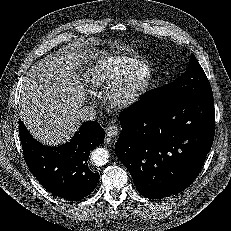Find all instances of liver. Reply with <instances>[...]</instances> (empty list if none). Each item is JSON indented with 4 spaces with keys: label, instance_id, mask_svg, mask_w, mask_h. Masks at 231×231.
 Listing matches in <instances>:
<instances>
[{
    "label": "liver",
    "instance_id": "6515ba94",
    "mask_svg": "<svg viewBox=\"0 0 231 231\" xmlns=\"http://www.w3.org/2000/svg\"><path fill=\"white\" fill-rule=\"evenodd\" d=\"M86 57L76 43L36 62L23 80L19 116L46 145L69 141L81 125L77 112L86 97L76 70Z\"/></svg>",
    "mask_w": 231,
    "mask_h": 231
}]
</instances>
